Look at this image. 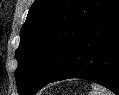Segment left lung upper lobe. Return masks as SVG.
Returning <instances> with one entry per match:
<instances>
[{
	"label": "left lung upper lobe",
	"mask_w": 119,
	"mask_h": 95,
	"mask_svg": "<svg viewBox=\"0 0 119 95\" xmlns=\"http://www.w3.org/2000/svg\"><path fill=\"white\" fill-rule=\"evenodd\" d=\"M117 0H36L20 31L15 77L19 95H32L69 64L86 31Z\"/></svg>",
	"instance_id": "left-lung-upper-lobe-1"
}]
</instances>
